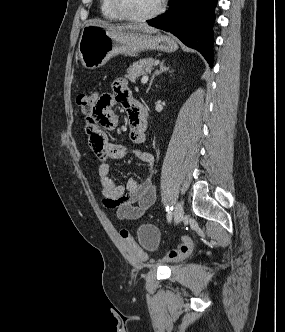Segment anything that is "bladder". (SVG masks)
<instances>
[{
  "mask_svg": "<svg viewBox=\"0 0 285 332\" xmlns=\"http://www.w3.org/2000/svg\"><path fill=\"white\" fill-rule=\"evenodd\" d=\"M137 236L140 244L146 249L152 250L158 245L159 233L151 225H141L138 228Z\"/></svg>",
  "mask_w": 285,
  "mask_h": 332,
  "instance_id": "bladder-1",
  "label": "bladder"
}]
</instances>
